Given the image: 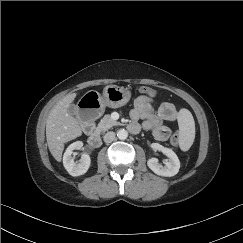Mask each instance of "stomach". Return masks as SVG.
Instances as JSON below:
<instances>
[{
	"mask_svg": "<svg viewBox=\"0 0 243 243\" xmlns=\"http://www.w3.org/2000/svg\"><path fill=\"white\" fill-rule=\"evenodd\" d=\"M131 93L128 89L116 85H108L103 89L102 95L97 91H88L79 100L80 104H86V108H92L96 116H100L105 107L119 108L128 103Z\"/></svg>",
	"mask_w": 243,
	"mask_h": 243,
	"instance_id": "obj_1",
	"label": "stomach"
}]
</instances>
